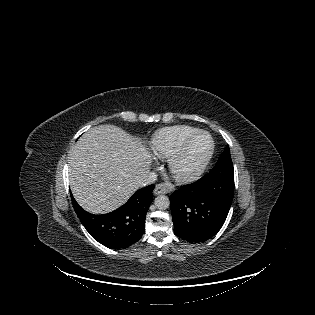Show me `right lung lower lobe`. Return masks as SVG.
I'll list each match as a JSON object with an SVG mask.
<instances>
[{
	"instance_id": "98d812e1",
	"label": "right lung lower lobe",
	"mask_w": 315,
	"mask_h": 315,
	"mask_svg": "<svg viewBox=\"0 0 315 315\" xmlns=\"http://www.w3.org/2000/svg\"><path fill=\"white\" fill-rule=\"evenodd\" d=\"M153 189L154 185H150L136 191L124 205L108 214L88 213L73 197L72 204L81 223L96 241L111 249L127 248L144 234Z\"/></svg>"
}]
</instances>
